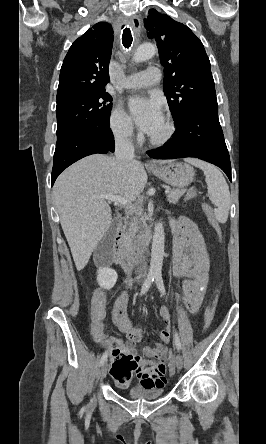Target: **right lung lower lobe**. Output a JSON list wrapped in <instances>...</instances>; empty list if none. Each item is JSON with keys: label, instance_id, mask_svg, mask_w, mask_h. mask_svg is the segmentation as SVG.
<instances>
[{"label": "right lung lower lobe", "instance_id": "obj_1", "mask_svg": "<svg viewBox=\"0 0 266 444\" xmlns=\"http://www.w3.org/2000/svg\"><path fill=\"white\" fill-rule=\"evenodd\" d=\"M114 148V136L109 126L81 131L62 144L56 145L51 176L52 186L59 174L77 160L91 154L113 152Z\"/></svg>", "mask_w": 266, "mask_h": 444}]
</instances>
